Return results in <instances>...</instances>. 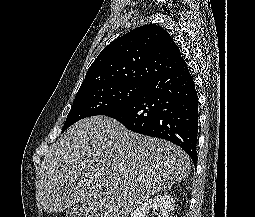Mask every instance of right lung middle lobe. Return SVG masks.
<instances>
[{"instance_id":"obj_1","label":"right lung middle lobe","mask_w":255,"mask_h":217,"mask_svg":"<svg viewBox=\"0 0 255 217\" xmlns=\"http://www.w3.org/2000/svg\"><path fill=\"white\" fill-rule=\"evenodd\" d=\"M141 84L103 85L76 94L62 132L75 122L90 116L104 115L133 102L146 89Z\"/></svg>"}]
</instances>
